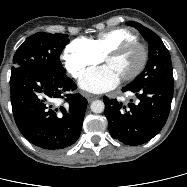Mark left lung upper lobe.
<instances>
[{"label":"left lung upper lobe","instance_id":"1","mask_svg":"<svg viewBox=\"0 0 187 187\" xmlns=\"http://www.w3.org/2000/svg\"><path fill=\"white\" fill-rule=\"evenodd\" d=\"M135 27L149 43V60L134 81L126 87H142L149 84H173V72L170 54L162 40L150 29L137 22L127 23Z\"/></svg>","mask_w":187,"mask_h":187}]
</instances>
